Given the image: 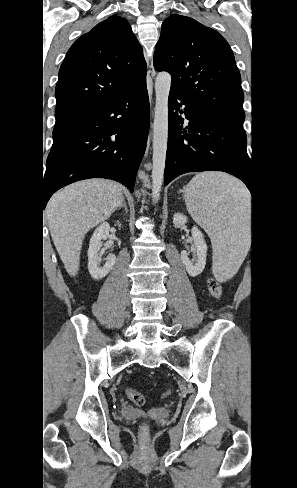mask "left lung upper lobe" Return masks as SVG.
<instances>
[{"label": "left lung upper lobe", "instance_id": "1", "mask_svg": "<svg viewBox=\"0 0 297 488\" xmlns=\"http://www.w3.org/2000/svg\"><path fill=\"white\" fill-rule=\"evenodd\" d=\"M154 67L172 76L171 90L198 110L243 128L241 76L227 41L196 20L171 15L162 24Z\"/></svg>", "mask_w": 297, "mask_h": 488}]
</instances>
